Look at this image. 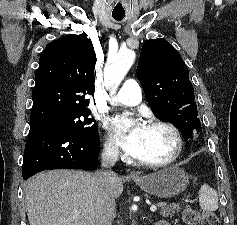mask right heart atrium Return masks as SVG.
<instances>
[{"mask_svg": "<svg viewBox=\"0 0 237 225\" xmlns=\"http://www.w3.org/2000/svg\"><path fill=\"white\" fill-rule=\"evenodd\" d=\"M103 149L105 154L111 158H118L120 155V151L115 140L109 134L105 135Z\"/></svg>", "mask_w": 237, "mask_h": 225, "instance_id": "1", "label": "right heart atrium"}]
</instances>
